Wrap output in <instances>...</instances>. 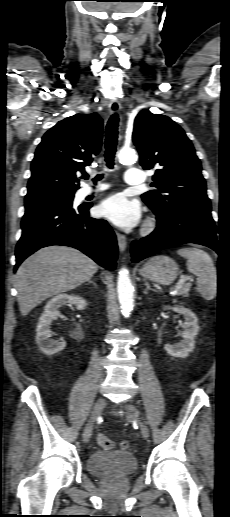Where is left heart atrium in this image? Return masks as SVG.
<instances>
[{"mask_svg":"<svg viewBox=\"0 0 230 517\" xmlns=\"http://www.w3.org/2000/svg\"><path fill=\"white\" fill-rule=\"evenodd\" d=\"M140 207L136 201L123 194H115L102 202L99 214L122 228L136 225L140 219Z\"/></svg>","mask_w":230,"mask_h":517,"instance_id":"obj_1","label":"left heart atrium"}]
</instances>
